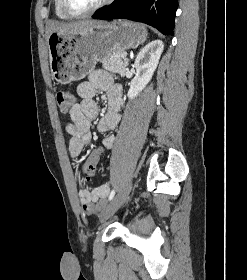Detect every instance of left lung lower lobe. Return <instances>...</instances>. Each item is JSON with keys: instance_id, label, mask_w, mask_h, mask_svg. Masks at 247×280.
I'll return each mask as SVG.
<instances>
[{"instance_id": "0a47b994", "label": "left lung lower lobe", "mask_w": 247, "mask_h": 280, "mask_svg": "<svg viewBox=\"0 0 247 280\" xmlns=\"http://www.w3.org/2000/svg\"><path fill=\"white\" fill-rule=\"evenodd\" d=\"M178 0H115L94 19H129L143 22L164 35H174L175 13Z\"/></svg>"}]
</instances>
